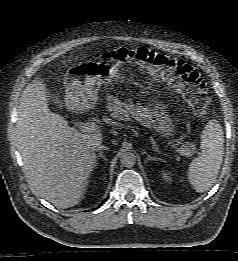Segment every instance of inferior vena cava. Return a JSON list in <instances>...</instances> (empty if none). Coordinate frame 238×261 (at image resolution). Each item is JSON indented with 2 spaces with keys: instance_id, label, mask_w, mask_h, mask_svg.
<instances>
[{
  "instance_id": "602c4592",
  "label": "inferior vena cava",
  "mask_w": 238,
  "mask_h": 261,
  "mask_svg": "<svg viewBox=\"0 0 238 261\" xmlns=\"http://www.w3.org/2000/svg\"><path fill=\"white\" fill-rule=\"evenodd\" d=\"M102 146H104V145H96V146H95V150H97V151H98V150H101V149H102Z\"/></svg>"
}]
</instances>
